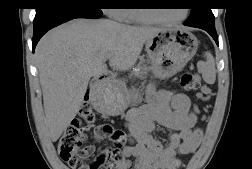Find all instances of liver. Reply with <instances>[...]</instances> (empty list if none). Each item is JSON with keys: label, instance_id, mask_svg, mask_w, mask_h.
<instances>
[{"label": "liver", "instance_id": "liver-1", "mask_svg": "<svg viewBox=\"0 0 252 169\" xmlns=\"http://www.w3.org/2000/svg\"><path fill=\"white\" fill-rule=\"evenodd\" d=\"M162 28L123 25L109 19H74L39 41L35 56L43 92L47 134L57 141L77 115L91 77L110 66L126 71L134 66L144 43Z\"/></svg>", "mask_w": 252, "mask_h": 169}]
</instances>
